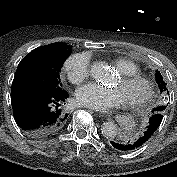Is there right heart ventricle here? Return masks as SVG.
<instances>
[{"label": "right heart ventricle", "mask_w": 177, "mask_h": 177, "mask_svg": "<svg viewBox=\"0 0 177 177\" xmlns=\"http://www.w3.org/2000/svg\"><path fill=\"white\" fill-rule=\"evenodd\" d=\"M113 64L117 71L122 75L139 74V66L132 60L126 58H119L113 61Z\"/></svg>", "instance_id": "1"}]
</instances>
